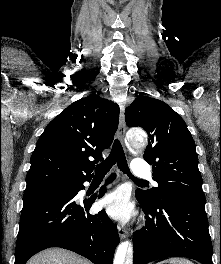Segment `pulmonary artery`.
Wrapping results in <instances>:
<instances>
[{"label": "pulmonary artery", "instance_id": "e3ab8cb5", "mask_svg": "<svg viewBox=\"0 0 221 264\" xmlns=\"http://www.w3.org/2000/svg\"><path fill=\"white\" fill-rule=\"evenodd\" d=\"M133 174L142 178H151V172L147 163L142 159H134L131 166ZM156 184L155 182H153Z\"/></svg>", "mask_w": 221, "mask_h": 264}]
</instances>
